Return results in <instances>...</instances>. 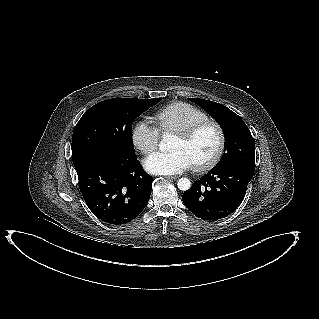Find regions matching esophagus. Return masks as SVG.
Returning a JSON list of instances; mask_svg holds the SVG:
<instances>
[{"label": "esophagus", "mask_w": 319, "mask_h": 319, "mask_svg": "<svg viewBox=\"0 0 319 319\" xmlns=\"http://www.w3.org/2000/svg\"><path fill=\"white\" fill-rule=\"evenodd\" d=\"M165 178L169 179V180H175L178 178V176H165Z\"/></svg>", "instance_id": "obj_1"}]
</instances>
